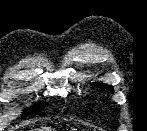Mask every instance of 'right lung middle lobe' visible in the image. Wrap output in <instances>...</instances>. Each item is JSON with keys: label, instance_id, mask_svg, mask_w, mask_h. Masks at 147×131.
I'll return each mask as SVG.
<instances>
[{"label": "right lung middle lobe", "instance_id": "1", "mask_svg": "<svg viewBox=\"0 0 147 131\" xmlns=\"http://www.w3.org/2000/svg\"><path fill=\"white\" fill-rule=\"evenodd\" d=\"M42 109H43V104H37L33 108L27 109L23 115H27V114L34 115L40 112Z\"/></svg>", "mask_w": 147, "mask_h": 131}]
</instances>
